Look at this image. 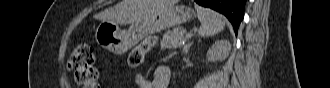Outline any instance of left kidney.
Returning a JSON list of instances; mask_svg holds the SVG:
<instances>
[{"label":"left kidney","mask_w":330,"mask_h":88,"mask_svg":"<svg viewBox=\"0 0 330 88\" xmlns=\"http://www.w3.org/2000/svg\"><path fill=\"white\" fill-rule=\"evenodd\" d=\"M231 50V44L228 40L222 39L215 44L212 45L211 48H209L207 52V58L209 61H223L225 60Z\"/></svg>","instance_id":"5707ae66"}]
</instances>
